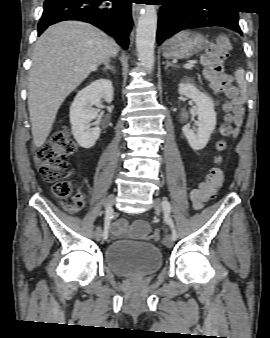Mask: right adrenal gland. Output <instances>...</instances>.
Segmentation results:
<instances>
[{"mask_svg": "<svg viewBox=\"0 0 270 338\" xmlns=\"http://www.w3.org/2000/svg\"><path fill=\"white\" fill-rule=\"evenodd\" d=\"M107 70H111L113 73H115L114 67L108 61L105 63V66L103 68L104 72H106Z\"/></svg>", "mask_w": 270, "mask_h": 338, "instance_id": "right-adrenal-gland-1", "label": "right adrenal gland"}]
</instances>
